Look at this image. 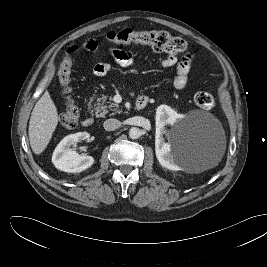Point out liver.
<instances>
[{"label":"liver","instance_id":"1","mask_svg":"<svg viewBox=\"0 0 267 267\" xmlns=\"http://www.w3.org/2000/svg\"><path fill=\"white\" fill-rule=\"evenodd\" d=\"M59 121L57 108L48 91L35 104L29 122V140L34 154H41L52 138Z\"/></svg>","mask_w":267,"mask_h":267}]
</instances>
